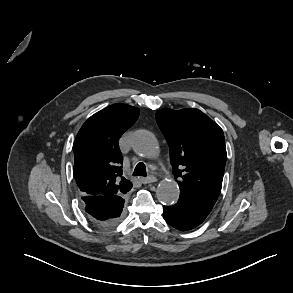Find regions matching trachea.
<instances>
[{
	"instance_id": "3493384b",
	"label": "trachea",
	"mask_w": 293,
	"mask_h": 293,
	"mask_svg": "<svg viewBox=\"0 0 293 293\" xmlns=\"http://www.w3.org/2000/svg\"><path fill=\"white\" fill-rule=\"evenodd\" d=\"M134 176H147L146 166L142 162L138 163L133 172Z\"/></svg>"
}]
</instances>
